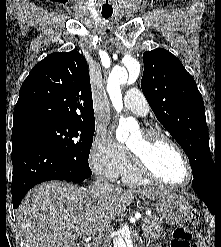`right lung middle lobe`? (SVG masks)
Wrapping results in <instances>:
<instances>
[{
  "mask_svg": "<svg viewBox=\"0 0 221 247\" xmlns=\"http://www.w3.org/2000/svg\"><path fill=\"white\" fill-rule=\"evenodd\" d=\"M94 131V121L47 122L18 128L12 131V135L39 139L68 157L88 164Z\"/></svg>",
  "mask_w": 221,
  "mask_h": 247,
  "instance_id": "1",
  "label": "right lung middle lobe"
}]
</instances>
